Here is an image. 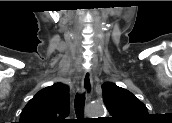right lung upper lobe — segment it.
<instances>
[{"label": "right lung upper lobe", "instance_id": "right-lung-upper-lobe-1", "mask_svg": "<svg viewBox=\"0 0 172 123\" xmlns=\"http://www.w3.org/2000/svg\"><path fill=\"white\" fill-rule=\"evenodd\" d=\"M69 114V88L62 83L43 88L26 104L19 123H64Z\"/></svg>", "mask_w": 172, "mask_h": 123}]
</instances>
